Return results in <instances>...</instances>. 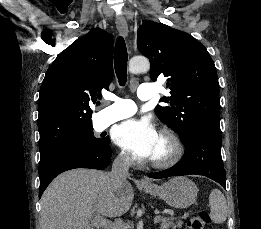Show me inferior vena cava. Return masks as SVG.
Segmentation results:
<instances>
[{
    "mask_svg": "<svg viewBox=\"0 0 261 229\" xmlns=\"http://www.w3.org/2000/svg\"><path fill=\"white\" fill-rule=\"evenodd\" d=\"M131 163L128 157L125 155H119L115 161H113L112 171L109 173L110 181L117 189L119 185H123L128 177V171Z\"/></svg>",
    "mask_w": 261,
    "mask_h": 229,
    "instance_id": "602c4592",
    "label": "inferior vena cava"
}]
</instances>
